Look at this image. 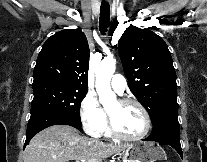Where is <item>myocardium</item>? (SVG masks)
<instances>
[{
	"label": "myocardium",
	"instance_id": "f54148a6",
	"mask_svg": "<svg viewBox=\"0 0 207 162\" xmlns=\"http://www.w3.org/2000/svg\"><path fill=\"white\" fill-rule=\"evenodd\" d=\"M117 102L120 106H127V105L137 106L142 111V113L144 115L145 127H144L143 131L137 135H132V136L125 135L118 130L114 120L112 119V117L108 113L109 128H110L112 135L119 138V139H123V140H139V139H142L143 137H145L149 133V131L151 129V125H152L151 117H150V114H149L147 108L140 101L133 99V98H123V99L118 100Z\"/></svg>",
	"mask_w": 207,
	"mask_h": 162
}]
</instances>
